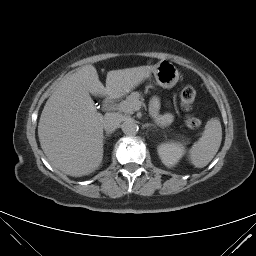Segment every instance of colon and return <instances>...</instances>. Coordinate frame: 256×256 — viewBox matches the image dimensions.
I'll return each instance as SVG.
<instances>
[{"label":"colon","instance_id":"1","mask_svg":"<svg viewBox=\"0 0 256 256\" xmlns=\"http://www.w3.org/2000/svg\"><path fill=\"white\" fill-rule=\"evenodd\" d=\"M196 90L192 86L183 88L180 94L181 105L185 111H190L196 99ZM186 125L191 129H197L202 125V120L197 117H187Z\"/></svg>","mask_w":256,"mask_h":256}]
</instances>
